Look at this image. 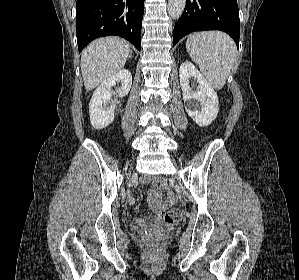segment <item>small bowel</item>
Returning a JSON list of instances; mask_svg holds the SVG:
<instances>
[{
    "instance_id": "obj_1",
    "label": "small bowel",
    "mask_w": 299,
    "mask_h": 280,
    "mask_svg": "<svg viewBox=\"0 0 299 280\" xmlns=\"http://www.w3.org/2000/svg\"><path fill=\"white\" fill-rule=\"evenodd\" d=\"M145 181H148V179H145ZM156 182L161 186L165 187V183L162 179L158 178ZM148 201L151 209L155 211H161L163 210L168 203H171L174 201V197L170 196L168 200L163 199L162 195L156 188H150L147 193ZM127 202L129 204L133 203V198L128 197Z\"/></svg>"
}]
</instances>
